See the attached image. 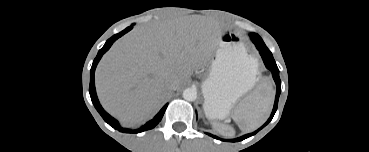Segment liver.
Segmentation results:
<instances>
[{
    "mask_svg": "<svg viewBox=\"0 0 369 152\" xmlns=\"http://www.w3.org/2000/svg\"><path fill=\"white\" fill-rule=\"evenodd\" d=\"M222 32L206 19L136 27L113 44L96 69L102 106L126 126L149 119L170 91L167 81L183 85L209 59Z\"/></svg>",
    "mask_w": 369,
    "mask_h": 152,
    "instance_id": "1",
    "label": "liver"
}]
</instances>
